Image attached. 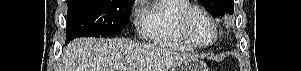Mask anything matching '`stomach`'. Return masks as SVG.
Wrapping results in <instances>:
<instances>
[{
    "label": "stomach",
    "instance_id": "0dacf381",
    "mask_svg": "<svg viewBox=\"0 0 301 71\" xmlns=\"http://www.w3.org/2000/svg\"><path fill=\"white\" fill-rule=\"evenodd\" d=\"M171 71H209L206 64L194 57H189Z\"/></svg>",
    "mask_w": 301,
    "mask_h": 71
}]
</instances>
